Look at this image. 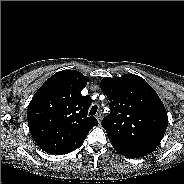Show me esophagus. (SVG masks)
Masks as SVG:
<instances>
[{"instance_id":"1","label":"esophagus","mask_w":184,"mask_h":184,"mask_svg":"<svg viewBox=\"0 0 184 184\" xmlns=\"http://www.w3.org/2000/svg\"><path fill=\"white\" fill-rule=\"evenodd\" d=\"M96 119L98 120L99 123H101V120H102L101 113H99V114L96 115Z\"/></svg>"}]
</instances>
